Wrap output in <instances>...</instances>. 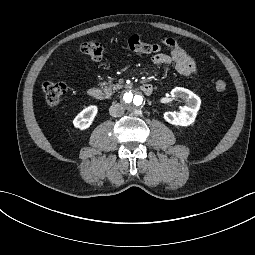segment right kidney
<instances>
[{
	"mask_svg": "<svg viewBox=\"0 0 255 255\" xmlns=\"http://www.w3.org/2000/svg\"><path fill=\"white\" fill-rule=\"evenodd\" d=\"M97 113H98V107L95 105H91L85 108L78 115L74 117L73 119L74 127L79 130L88 129L92 125Z\"/></svg>",
	"mask_w": 255,
	"mask_h": 255,
	"instance_id": "obj_1",
	"label": "right kidney"
}]
</instances>
